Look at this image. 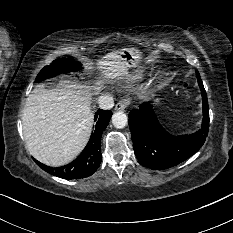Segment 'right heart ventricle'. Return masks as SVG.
<instances>
[{
	"label": "right heart ventricle",
	"mask_w": 233,
	"mask_h": 233,
	"mask_svg": "<svg viewBox=\"0 0 233 233\" xmlns=\"http://www.w3.org/2000/svg\"><path fill=\"white\" fill-rule=\"evenodd\" d=\"M141 76H142L141 73H137V75H136L137 78H140Z\"/></svg>",
	"instance_id": "right-heart-ventricle-1"
}]
</instances>
